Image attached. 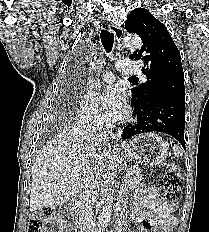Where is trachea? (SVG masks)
<instances>
[{
    "label": "trachea",
    "mask_w": 209,
    "mask_h": 232,
    "mask_svg": "<svg viewBox=\"0 0 209 232\" xmlns=\"http://www.w3.org/2000/svg\"><path fill=\"white\" fill-rule=\"evenodd\" d=\"M101 43L107 53H110L114 44V34L110 31L103 29L100 33ZM130 79L135 80V77Z\"/></svg>",
    "instance_id": "1"
}]
</instances>
